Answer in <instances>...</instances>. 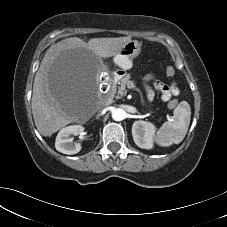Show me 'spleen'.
I'll use <instances>...</instances> for the list:
<instances>
[{"mask_svg": "<svg viewBox=\"0 0 227 227\" xmlns=\"http://www.w3.org/2000/svg\"><path fill=\"white\" fill-rule=\"evenodd\" d=\"M190 119V105L186 101L180 102L173 111V117L164 122L157 131L156 143L163 147L179 144L186 136Z\"/></svg>", "mask_w": 227, "mask_h": 227, "instance_id": "3e777b00", "label": "spleen"}]
</instances>
